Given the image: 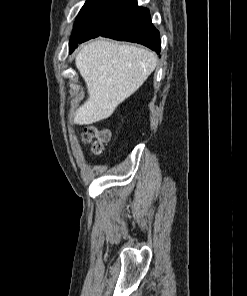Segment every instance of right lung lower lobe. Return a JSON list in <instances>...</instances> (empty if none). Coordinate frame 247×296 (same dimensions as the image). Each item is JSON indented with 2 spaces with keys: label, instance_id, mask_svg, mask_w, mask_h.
Here are the masks:
<instances>
[{
  "label": "right lung lower lobe",
  "instance_id": "right-lung-lower-lobe-1",
  "mask_svg": "<svg viewBox=\"0 0 247 296\" xmlns=\"http://www.w3.org/2000/svg\"><path fill=\"white\" fill-rule=\"evenodd\" d=\"M87 29L88 34L82 42L104 36L139 43L160 53L159 31L151 22L149 10L138 7L136 0H110L104 10L87 25Z\"/></svg>",
  "mask_w": 247,
  "mask_h": 296
}]
</instances>
